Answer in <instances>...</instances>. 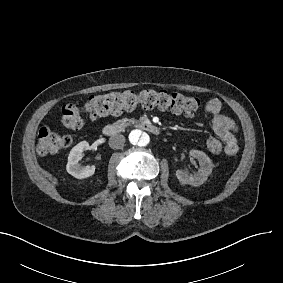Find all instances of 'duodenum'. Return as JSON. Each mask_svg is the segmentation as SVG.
Instances as JSON below:
<instances>
[{
  "mask_svg": "<svg viewBox=\"0 0 283 283\" xmlns=\"http://www.w3.org/2000/svg\"><path fill=\"white\" fill-rule=\"evenodd\" d=\"M130 126L137 127L142 131L151 134L160 133V129L157 126L144 122H121V123L108 124L103 127L102 132L105 136H114L123 132L125 129H127Z\"/></svg>",
  "mask_w": 283,
  "mask_h": 283,
  "instance_id": "obj_1",
  "label": "duodenum"
}]
</instances>
